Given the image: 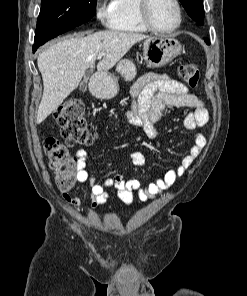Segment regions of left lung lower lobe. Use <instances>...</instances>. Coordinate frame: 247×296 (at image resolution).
Instances as JSON below:
<instances>
[{
    "label": "left lung lower lobe",
    "instance_id": "0a47b994",
    "mask_svg": "<svg viewBox=\"0 0 247 296\" xmlns=\"http://www.w3.org/2000/svg\"><path fill=\"white\" fill-rule=\"evenodd\" d=\"M205 41H206V43H208V44H209V40H208V39H205Z\"/></svg>",
    "mask_w": 247,
    "mask_h": 296
}]
</instances>
